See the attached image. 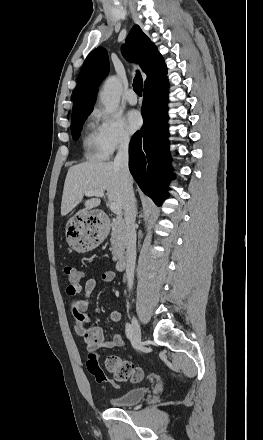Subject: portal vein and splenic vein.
I'll list each match as a JSON object with an SVG mask.
<instances>
[{
	"label": "portal vein and splenic vein",
	"instance_id": "18ae733b",
	"mask_svg": "<svg viewBox=\"0 0 263 440\" xmlns=\"http://www.w3.org/2000/svg\"><path fill=\"white\" fill-rule=\"evenodd\" d=\"M85 195H86L87 197H92V196H95V197H104V192H103V191H99V190H96V191H88V192H85ZM109 207H110V210H111L114 214H116V215H121V213H122V209H121V207H120L119 204H117V203H115V202H110V203H109Z\"/></svg>",
	"mask_w": 263,
	"mask_h": 440
}]
</instances>
